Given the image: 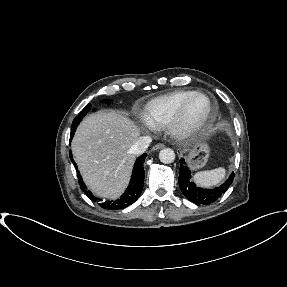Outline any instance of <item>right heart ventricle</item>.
Instances as JSON below:
<instances>
[{
  "label": "right heart ventricle",
  "instance_id": "e07e8e85",
  "mask_svg": "<svg viewBox=\"0 0 287 287\" xmlns=\"http://www.w3.org/2000/svg\"><path fill=\"white\" fill-rule=\"evenodd\" d=\"M194 92L196 91L177 90L150 100L141 111L143 120L151 127L165 126L180 105Z\"/></svg>",
  "mask_w": 287,
  "mask_h": 287
}]
</instances>
